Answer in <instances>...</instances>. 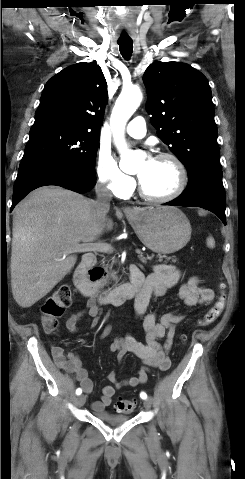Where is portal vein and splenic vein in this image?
<instances>
[{
    "mask_svg": "<svg viewBox=\"0 0 245 479\" xmlns=\"http://www.w3.org/2000/svg\"><path fill=\"white\" fill-rule=\"evenodd\" d=\"M74 252H87V251H98L104 253H110L113 251V248L109 244H93L83 242L81 244H75L73 247ZM136 253L142 255L141 250L136 249Z\"/></svg>",
    "mask_w": 245,
    "mask_h": 479,
    "instance_id": "portal-vein-and-splenic-vein-1",
    "label": "portal vein and splenic vein"
}]
</instances>
